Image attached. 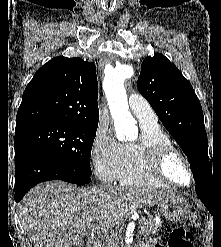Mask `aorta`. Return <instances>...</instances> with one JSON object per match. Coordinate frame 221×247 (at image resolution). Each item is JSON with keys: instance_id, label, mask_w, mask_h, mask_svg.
I'll return each mask as SVG.
<instances>
[{"instance_id": "1", "label": "aorta", "mask_w": 221, "mask_h": 247, "mask_svg": "<svg viewBox=\"0 0 221 247\" xmlns=\"http://www.w3.org/2000/svg\"><path fill=\"white\" fill-rule=\"evenodd\" d=\"M133 74L129 65L117 67L105 75L103 89L107 97L111 115L115 121L116 136L120 141L132 139L137 134L136 121L128 111L124 81Z\"/></svg>"}]
</instances>
